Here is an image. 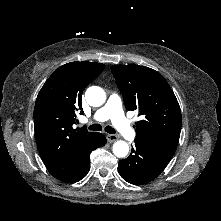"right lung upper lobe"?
<instances>
[{
    "instance_id": "right-lung-upper-lobe-1",
    "label": "right lung upper lobe",
    "mask_w": 221,
    "mask_h": 221,
    "mask_svg": "<svg viewBox=\"0 0 221 221\" xmlns=\"http://www.w3.org/2000/svg\"><path fill=\"white\" fill-rule=\"evenodd\" d=\"M105 68L101 63L71 62L58 68L41 88L34 108L37 146L46 167L86 143L95 132L73 128L82 109V92Z\"/></svg>"
}]
</instances>
